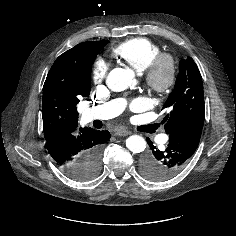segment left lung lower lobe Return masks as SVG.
<instances>
[{
	"mask_svg": "<svg viewBox=\"0 0 236 236\" xmlns=\"http://www.w3.org/2000/svg\"><path fill=\"white\" fill-rule=\"evenodd\" d=\"M203 123H188L169 133V143L164 151L158 150L147 138L151 150L141 162L143 176L152 181H165L179 174L198 147Z\"/></svg>",
	"mask_w": 236,
	"mask_h": 236,
	"instance_id": "0a47b994",
	"label": "left lung lower lobe"
}]
</instances>
